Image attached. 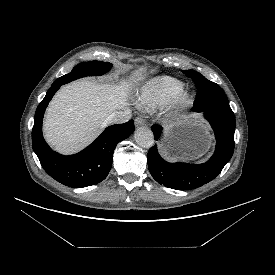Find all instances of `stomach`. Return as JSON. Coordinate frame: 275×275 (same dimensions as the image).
Masks as SVG:
<instances>
[{"mask_svg":"<svg viewBox=\"0 0 275 275\" xmlns=\"http://www.w3.org/2000/svg\"><path fill=\"white\" fill-rule=\"evenodd\" d=\"M167 127L170 131L161 144V151L169 159H195L210 148L211 136L198 118L170 123Z\"/></svg>","mask_w":275,"mask_h":275,"instance_id":"1","label":"stomach"}]
</instances>
